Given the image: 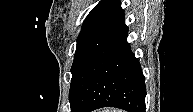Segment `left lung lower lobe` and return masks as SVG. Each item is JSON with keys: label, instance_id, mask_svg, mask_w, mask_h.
<instances>
[{"label": "left lung lower lobe", "instance_id": "obj_1", "mask_svg": "<svg viewBox=\"0 0 193 112\" xmlns=\"http://www.w3.org/2000/svg\"><path fill=\"white\" fill-rule=\"evenodd\" d=\"M127 34L121 12L81 51L71 70V112H91L106 106L145 112L144 75Z\"/></svg>", "mask_w": 193, "mask_h": 112}]
</instances>
